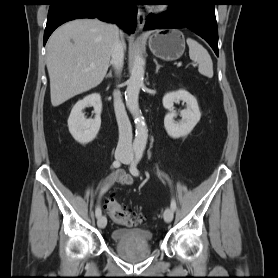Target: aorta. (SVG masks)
Instances as JSON below:
<instances>
[{
    "instance_id": "762f6f07",
    "label": "aorta",
    "mask_w": 278,
    "mask_h": 278,
    "mask_svg": "<svg viewBox=\"0 0 278 278\" xmlns=\"http://www.w3.org/2000/svg\"><path fill=\"white\" fill-rule=\"evenodd\" d=\"M145 62L139 51L135 52L130 78L128 80L125 93L126 105L134 117L136 134L133 142V148L136 151H143L146 147L148 130L139 109V92L144 82Z\"/></svg>"
}]
</instances>
